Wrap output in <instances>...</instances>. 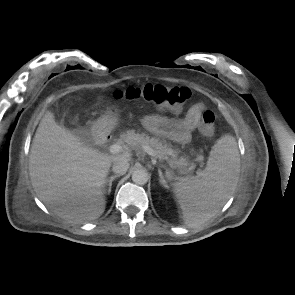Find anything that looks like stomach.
I'll use <instances>...</instances> for the list:
<instances>
[{
	"label": "stomach",
	"instance_id": "obj_1",
	"mask_svg": "<svg viewBox=\"0 0 295 295\" xmlns=\"http://www.w3.org/2000/svg\"><path fill=\"white\" fill-rule=\"evenodd\" d=\"M119 121V110L115 106H110L105 113L93 123L92 131L96 134L109 133Z\"/></svg>",
	"mask_w": 295,
	"mask_h": 295
}]
</instances>
